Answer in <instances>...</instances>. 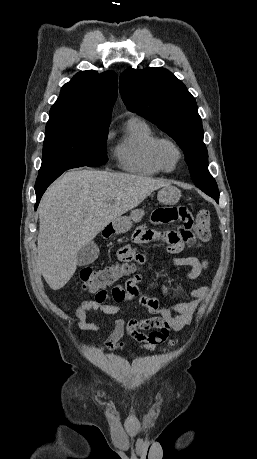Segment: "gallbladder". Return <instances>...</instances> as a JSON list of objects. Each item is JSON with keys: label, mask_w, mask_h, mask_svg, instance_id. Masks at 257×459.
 Returning a JSON list of instances; mask_svg holds the SVG:
<instances>
[{"label": "gallbladder", "mask_w": 257, "mask_h": 459, "mask_svg": "<svg viewBox=\"0 0 257 459\" xmlns=\"http://www.w3.org/2000/svg\"><path fill=\"white\" fill-rule=\"evenodd\" d=\"M99 255V248L94 241L89 242L83 246L77 254V264L85 266L93 263Z\"/></svg>", "instance_id": "1"}]
</instances>
